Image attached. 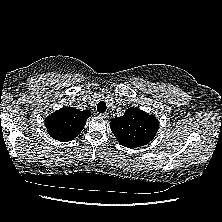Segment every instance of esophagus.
<instances>
[{
  "label": "esophagus",
  "mask_w": 222,
  "mask_h": 222,
  "mask_svg": "<svg viewBox=\"0 0 222 222\" xmlns=\"http://www.w3.org/2000/svg\"><path fill=\"white\" fill-rule=\"evenodd\" d=\"M99 117L106 119L108 117L107 113H100Z\"/></svg>",
  "instance_id": "34e87169"
}]
</instances>
